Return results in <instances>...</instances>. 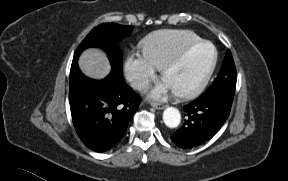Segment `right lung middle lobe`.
Segmentation results:
<instances>
[{
    "instance_id": "obj_1",
    "label": "right lung middle lobe",
    "mask_w": 288,
    "mask_h": 181,
    "mask_svg": "<svg viewBox=\"0 0 288 181\" xmlns=\"http://www.w3.org/2000/svg\"><path fill=\"white\" fill-rule=\"evenodd\" d=\"M132 30V26H124L114 23H103L98 25L86 36L77 48L73 57L72 66L77 64L78 57L84 49L94 46H103L109 48V59L112 71L118 75H123L122 54L113 45L120 39L129 35Z\"/></svg>"
}]
</instances>
